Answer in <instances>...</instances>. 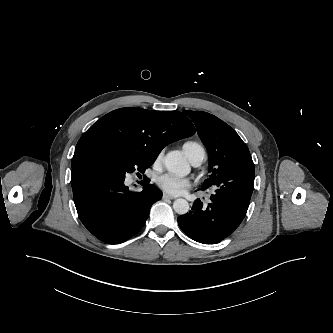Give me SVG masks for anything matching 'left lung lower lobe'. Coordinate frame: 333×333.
Instances as JSON below:
<instances>
[{
    "mask_svg": "<svg viewBox=\"0 0 333 333\" xmlns=\"http://www.w3.org/2000/svg\"><path fill=\"white\" fill-rule=\"evenodd\" d=\"M232 167L237 168L236 174L231 171ZM215 182L218 186L206 208L197 199L189 213L177 218L185 234L204 244L219 243L234 232L244 219L254 188L251 156L224 168Z\"/></svg>",
    "mask_w": 333,
    "mask_h": 333,
    "instance_id": "1",
    "label": "left lung lower lobe"
}]
</instances>
